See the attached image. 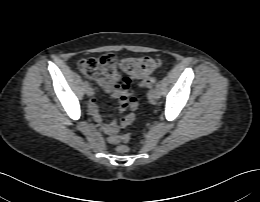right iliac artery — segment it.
Masks as SVG:
<instances>
[{
    "label": "right iliac artery",
    "instance_id": "obj_1",
    "mask_svg": "<svg viewBox=\"0 0 260 202\" xmlns=\"http://www.w3.org/2000/svg\"><path fill=\"white\" fill-rule=\"evenodd\" d=\"M85 87H89V83L87 81L84 82Z\"/></svg>",
    "mask_w": 260,
    "mask_h": 202
}]
</instances>
